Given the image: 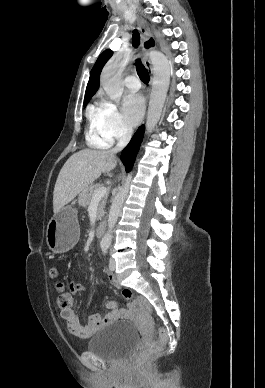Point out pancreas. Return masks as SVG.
Wrapping results in <instances>:
<instances>
[{
    "instance_id": "pancreas-1",
    "label": "pancreas",
    "mask_w": 265,
    "mask_h": 388,
    "mask_svg": "<svg viewBox=\"0 0 265 388\" xmlns=\"http://www.w3.org/2000/svg\"><path fill=\"white\" fill-rule=\"evenodd\" d=\"M100 186L101 184H90V186H87V188H84L81 194H79V198H78L79 206H84V208H87V206H89L93 198L94 190H97V188H100ZM106 202H107V196L106 198H102V200H100V204H98V208H97V220H101V218H103L105 214L104 208L106 206Z\"/></svg>"
}]
</instances>
